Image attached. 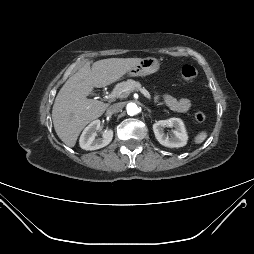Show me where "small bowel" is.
Here are the masks:
<instances>
[{"label":"small bowel","instance_id":"obj_1","mask_svg":"<svg viewBox=\"0 0 254 254\" xmlns=\"http://www.w3.org/2000/svg\"><path fill=\"white\" fill-rule=\"evenodd\" d=\"M162 99L169 108L178 112H186L191 106L190 100L187 98L177 99L170 94H164Z\"/></svg>","mask_w":254,"mask_h":254}]
</instances>
